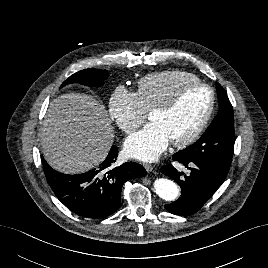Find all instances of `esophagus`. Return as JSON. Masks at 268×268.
<instances>
[{
    "label": "esophagus",
    "instance_id": "1",
    "mask_svg": "<svg viewBox=\"0 0 268 268\" xmlns=\"http://www.w3.org/2000/svg\"><path fill=\"white\" fill-rule=\"evenodd\" d=\"M144 167H145L146 171H148V172H151L154 170V166L151 164H148V163H145Z\"/></svg>",
    "mask_w": 268,
    "mask_h": 268
}]
</instances>
